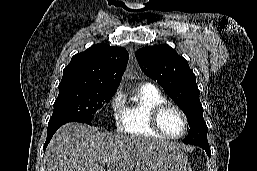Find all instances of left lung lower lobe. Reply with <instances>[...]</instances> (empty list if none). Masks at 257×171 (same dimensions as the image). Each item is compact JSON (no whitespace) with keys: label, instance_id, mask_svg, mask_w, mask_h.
Here are the masks:
<instances>
[{"label":"left lung lower lobe","instance_id":"0a47b994","mask_svg":"<svg viewBox=\"0 0 257 171\" xmlns=\"http://www.w3.org/2000/svg\"><path fill=\"white\" fill-rule=\"evenodd\" d=\"M195 146H199V147H201L202 149H204V150L206 151L207 155H208L209 158H210V156H211V151H210V147H209V144H208V143H198V144H195Z\"/></svg>","mask_w":257,"mask_h":171}]
</instances>
